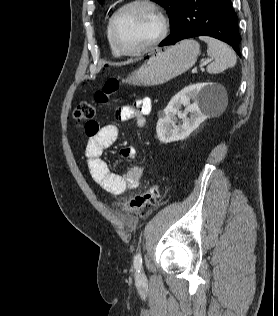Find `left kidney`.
<instances>
[{"mask_svg": "<svg viewBox=\"0 0 278 316\" xmlns=\"http://www.w3.org/2000/svg\"><path fill=\"white\" fill-rule=\"evenodd\" d=\"M224 96V87L213 82L197 83L182 89L170 100L164 109V115L157 122L156 132L159 140L170 143L188 137L208 118ZM182 105L186 107L187 112L192 113L190 118L179 111ZM176 115L182 120V125H175Z\"/></svg>", "mask_w": 278, "mask_h": 316, "instance_id": "1", "label": "left kidney"}]
</instances>
